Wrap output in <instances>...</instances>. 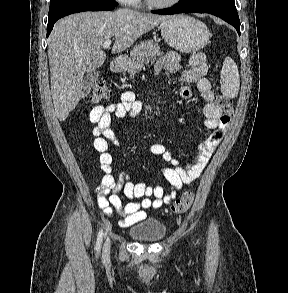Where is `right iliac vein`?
I'll return each mask as SVG.
<instances>
[{"mask_svg":"<svg viewBox=\"0 0 288 293\" xmlns=\"http://www.w3.org/2000/svg\"><path fill=\"white\" fill-rule=\"evenodd\" d=\"M110 252V239L107 238L105 245H104V250H103V256L104 258H108Z\"/></svg>","mask_w":288,"mask_h":293,"instance_id":"63e3f726","label":"right iliac vein"}]
</instances>
